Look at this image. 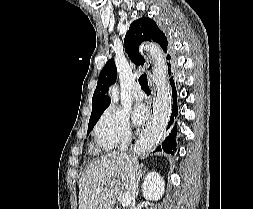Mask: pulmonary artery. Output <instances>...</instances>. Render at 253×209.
Segmentation results:
<instances>
[{
    "label": "pulmonary artery",
    "mask_w": 253,
    "mask_h": 209,
    "mask_svg": "<svg viewBox=\"0 0 253 209\" xmlns=\"http://www.w3.org/2000/svg\"><path fill=\"white\" fill-rule=\"evenodd\" d=\"M132 93H133V97L136 100H142L145 97L144 92L142 91V89L140 88L138 84L134 86Z\"/></svg>",
    "instance_id": "obj_1"
}]
</instances>
